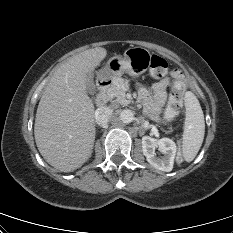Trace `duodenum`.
Returning <instances> with one entry per match:
<instances>
[{
	"mask_svg": "<svg viewBox=\"0 0 233 233\" xmlns=\"http://www.w3.org/2000/svg\"><path fill=\"white\" fill-rule=\"evenodd\" d=\"M111 80L107 77L101 78L98 83L99 93L97 95L96 104L99 107H104L109 101L108 88Z\"/></svg>",
	"mask_w": 233,
	"mask_h": 233,
	"instance_id": "410a0bca",
	"label": "duodenum"
}]
</instances>
